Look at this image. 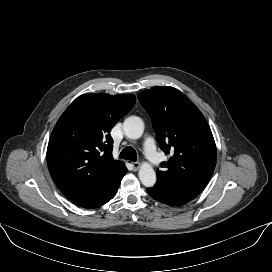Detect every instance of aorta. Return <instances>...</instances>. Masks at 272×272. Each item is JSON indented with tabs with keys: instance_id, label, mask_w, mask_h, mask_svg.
<instances>
[{
	"instance_id": "762f6f07",
	"label": "aorta",
	"mask_w": 272,
	"mask_h": 272,
	"mask_svg": "<svg viewBox=\"0 0 272 272\" xmlns=\"http://www.w3.org/2000/svg\"><path fill=\"white\" fill-rule=\"evenodd\" d=\"M125 135L130 139H139L144 132L143 121L136 116L125 119L123 123ZM139 179L146 187H153L156 183V173L148 163H143L139 169Z\"/></svg>"
}]
</instances>
